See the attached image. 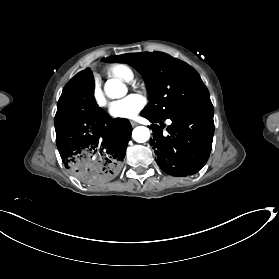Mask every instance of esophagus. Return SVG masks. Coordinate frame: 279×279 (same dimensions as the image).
<instances>
[{
  "mask_svg": "<svg viewBox=\"0 0 279 279\" xmlns=\"http://www.w3.org/2000/svg\"><path fill=\"white\" fill-rule=\"evenodd\" d=\"M130 123L132 124V126L138 125V123L136 121H134V120H131Z\"/></svg>",
  "mask_w": 279,
  "mask_h": 279,
  "instance_id": "1",
  "label": "esophagus"
}]
</instances>
